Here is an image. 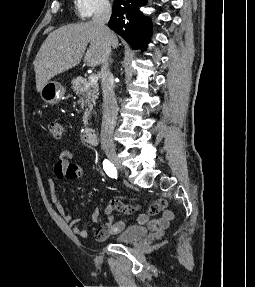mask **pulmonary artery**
I'll list each match as a JSON object with an SVG mask.
<instances>
[{
  "label": "pulmonary artery",
  "mask_w": 255,
  "mask_h": 287,
  "mask_svg": "<svg viewBox=\"0 0 255 287\" xmlns=\"http://www.w3.org/2000/svg\"><path fill=\"white\" fill-rule=\"evenodd\" d=\"M123 33H131V32H123Z\"/></svg>",
  "instance_id": "1"
}]
</instances>
